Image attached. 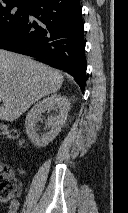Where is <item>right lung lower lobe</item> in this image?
<instances>
[{"mask_svg":"<svg viewBox=\"0 0 128 213\" xmlns=\"http://www.w3.org/2000/svg\"><path fill=\"white\" fill-rule=\"evenodd\" d=\"M79 0H36L27 19L0 41V48L49 62L72 75L82 91L86 58ZM29 14L38 21L29 19Z\"/></svg>","mask_w":128,"mask_h":213,"instance_id":"obj_1","label":"right lung lower lobe"}]
</instances>
